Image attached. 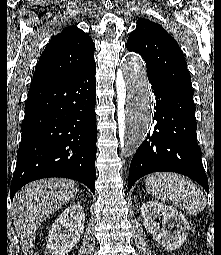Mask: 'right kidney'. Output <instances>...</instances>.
<instances>
[{"label": "right kidney", "mask_w": 221, "mask_h": 255, "mask_svg": "<svg viewBox=\"0 0 221 255\" xmlns=\"http://www.w3.org/2000/svg\"><path fill=\"white\" fill-rule=\"evenodd\" d=\"M84 211L80 203L67 207L48 232L47 248L52 255H65L77 244L84 230Z\"/></svg>", "instance_id": "right-kidney-1"}]
</instances>
